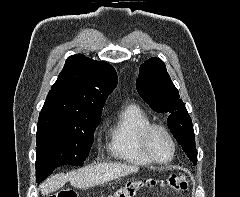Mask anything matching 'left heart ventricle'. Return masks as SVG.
<instances>
[{
  "instance_id": "obj_1",
  "label": "left heart ventricle",
  "mask_w": 240,
  "mask_h": 197,
  "mask_svg": "<svg viewBox=\"0 0 240 197\" xmlns=\"http://www.w3.org/2000/svg\"><path fill=\"white\" fill-rule=\"evenodd\" d=\"M149 144L152 153L158 160L165 161L171 157L172 145L163 131H153L149 139Z\"/></svg>"
}]
</instances>
